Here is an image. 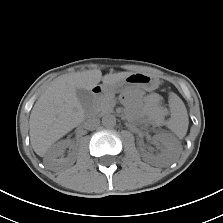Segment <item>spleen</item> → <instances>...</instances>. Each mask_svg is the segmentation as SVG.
<instances>
[{
  "instance_id": "spleen-1",
  "label": "spleen",
  "mask_w": 223,
  "mask_h": 223,
  "mask_svg": "<svg viewBox=\"0 0 223 223\" xmlns=\"http://www.w3.org/2000/svg\"><path fill=\"white\" fill-rule=\"evenodd\" d=\"M172 115L170 119L171 129L183 137L188 128V115L183 101L176 95L171 94L169 99Z\"/></svg>"
}]
</instances>
